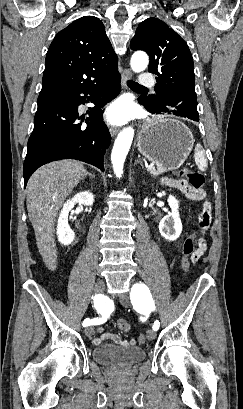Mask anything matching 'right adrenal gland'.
Returning <instances> with one entry per match:
<instances>
[{
	"mask_svg": "<svg viewBox=\"0 0 243 409\" xmlns=\"http://www.w3.org/2000/svg\"><path fill=\"white\" fill-rule=\"evenodd\" d=\"M86 175H88V176H89V177H91V178H94V177H95L93 174L88 173V172H87V174H86Z\"/></svg>",
	"mask_w": 243,
	"mask_h": 409,
	"instance_id": "obj_1",
	"label": "right adrenal gland"
}]
</instances>
